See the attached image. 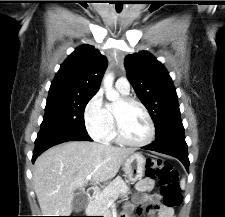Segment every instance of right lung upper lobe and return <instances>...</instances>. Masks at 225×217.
Listing matches in <instances>:
<instances>
[{"label": "right lung upper lobe", "instance_id": "cb5924a9", "mask_svg": "<svg viewBox=\"0 0 225 217\" xmlns=\"http://www.w3.org/2000/svg\"><path fill=\"white\" fill-rule=\"evenodd\" d=\"M106 69V58L93 46L78 47L61 65L49 93L95 95Z\"/></svg>", "mask_w": 225, "mask_h": 217}]
</instances>
